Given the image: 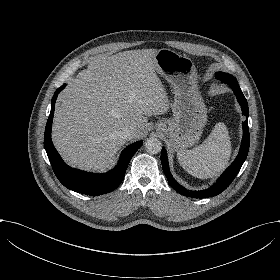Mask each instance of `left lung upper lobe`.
<instances>
[{
    "label": "left lung upper lobe",
    "mask_w": 280,
    "mask_h": 280,
    "mask_svg": "<svg viewBox=\"0 0 280 280\" xmlns=\"http://www.w3.org/2000/svg\"><path fill=\"white\" fill-rule=\"evenodd\" d=\"M228 75H230V74H226V73H223V72H218V73H216V78L221 80L223 77H226Z\"/></svg>",
    "instance_id": "5c2ea615"
}]
</instances>
